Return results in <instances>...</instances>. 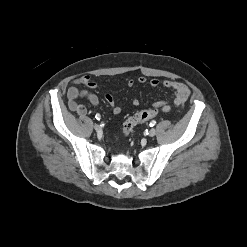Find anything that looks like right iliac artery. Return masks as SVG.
<instances>
[{
    "instance_id": "obj_1",
    "label": "right iliac artery",
    "mask_w": 247,
    "mask_h": 247,
    "mask_svg": "<svg viewBox=\"0 0 247 247\" xmlns=\"http://www.w3.org/2000/svg\"><path fill=\"white\" fill-rule=\"evenodd\" d=\"M95 118H96L97 120H100V119H101L100 114H96Z\"/></svg>"
}]
</instances>
